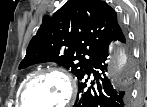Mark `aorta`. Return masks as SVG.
<instances>
[{"mask_svg": "<svg viewBox=\"0 0 147 107\" xmlns=\"http://www.w3.org/2000/svg\"><path fill=\"white\" fill-rule=\"evenodd\" d=\"M130 72L129 53L120 43H116L108 63L107 76L114 86H118Z\"/></svg>", "mask_w": 147, "mask_h": 107, "instance_id": "1", "label": "aorta"}]
</instances>
